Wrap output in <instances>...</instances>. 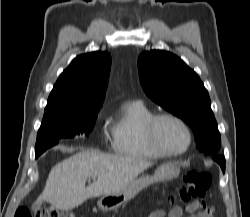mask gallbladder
<instances>
[{
    "label": "gallbladder",
    "mask_w": 250,
    "mask_h": 217,
    "mask_svg": "<svg viewBox=\"0 0 250 217\" xmlns=\"http://www.w3.org/2000/svg\"><path fill=\"white\" fill-rule=\"evenodd\" d=\"M40 207H41V203H36V204L32 207V210L36 212Z\"/></svg>",
    "instance_id": "bac80fb5"
}]
</instances>
